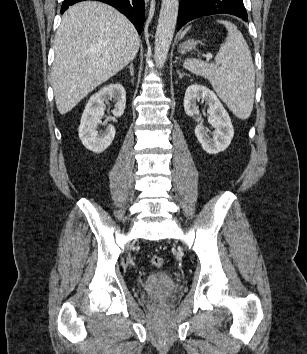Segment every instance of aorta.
Returning <instances> with one entry per match:
<instances>
[{"instance_id":"1","label":"aorta","mask_w":307,"mask_h":354,"mask_svg":"<svg viewBox=\"0 0 307 354\" xmlns=\"http://www.w3.org/2000/svg\"><path fill=\"white\" fill-rule=\"evenodd\" d=\"M178 8V0H162L154 46V58L159 68H163L168 56L175 31Z\"/></svg>"}]
</instances>
